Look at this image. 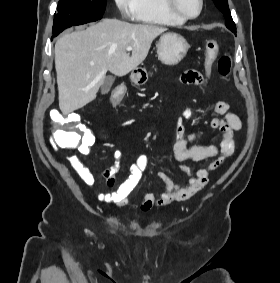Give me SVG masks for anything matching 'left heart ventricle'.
<instances>
[{
    "instance_id": "1",
    "label": "left heart ventricle",
    "mask_w": 280,
    "mask_h": 283,
    "mask_svg": "<svg viewBox=\"0 0 280 283\" xmlns=\"http://www.w3.org/2000/svg\"><path fill=\"white\" fill-rule=\"evenodd\" d=\"M176 4L189 15H195L199 10V0H176Z\"/></svg>"
}]
</instances>
